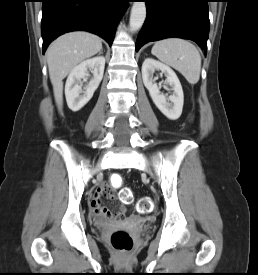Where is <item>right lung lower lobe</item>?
I'll list each match as a JSON object with an SVG mask.
<instances>
[{
	"mask_svg": "<svg viewBox=\"0 0 258 275\" xmlns=\"http://www.w3.org/2000/svg\"><path fill=\"white\" fill-rule=\"evenodd\" d=\"M43 53L58 36L70 31L99 35L111 46L115 26L129 0H42Z\"/></svg>",
	"mask_w": 258,
	"mask_h": 275,
	"instance_id": "1",
	"label": "right lung lower lobe"
}]
</instances>
